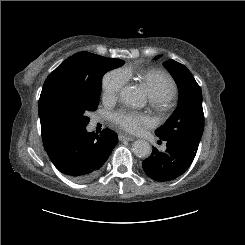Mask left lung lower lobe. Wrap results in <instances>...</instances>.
Here are the masks:
<instances>
[{
	"mask_svg": "<svg viewBox=\"0 0 245 245\" xmlns=\"http://www.w3.org/2000/svg\"><path fill=\"white\" fill-rule=\"evenodd\" d=\"M162 140V139H161ZM167 149L160 152L156 148L143 161L144 172L152 179L165 182L181 176L191 165L197 149L179 140H164Z\"/></svg>",
	"mask_w": 245,
	"mask_h": 245,
	"instance_id": "0a47b994",
	"label": "left lung lower lobe"
}]
</instances>
